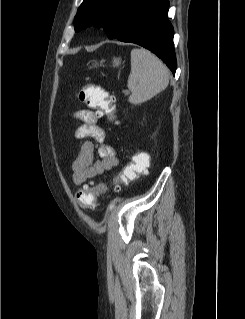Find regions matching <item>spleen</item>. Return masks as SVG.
<instances>
[{"mask_svg":"<svg viewBox=\"0 0 245 319\" xmlns=\"http://www.w3.org/2000/svg\"><path fill=\"white\" fill-rule=\"evenodd\" d=\"M168 83L169 70L158 57L144 48L132 49L127 84L130 103L137 105L150 100L165 90Z\"/></svg>","mask_w":245,"mask_h":319,"instance_id":"3e777b00","label":"spleen"}]
</instances>
